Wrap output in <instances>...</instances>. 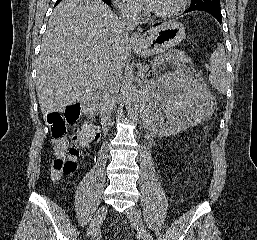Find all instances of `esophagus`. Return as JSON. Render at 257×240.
Wrapping results in <instances>:
<instances>
[{"mask_svg": "<svg viewBox=\"0 0 257 240\" xmlns=\"http://www.w3.org/2000/svg\"><path fill=\"white\" fill-rule=\"evenodd\" d=\"M143 41V38H142V36H141V34H140V29L137 31V32H135L133 35H132V37H131V42L133 43V44H138V43H141Z\"/></svg>", "mask_w": 257, "mask_h": 240, "instance_id": "34e87169", "label": "esophagus"}]
</instances>
